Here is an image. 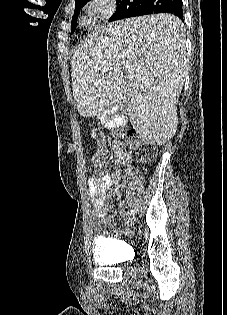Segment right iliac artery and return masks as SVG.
Here are the masks:
<instances>
[{
	"label": "right iliac artery",
	"instance_id": "obj_1",
	"mask_svg": "<svg viewBox=\"0 0 227 315\" xmlns=\"http://www.w3.org/2000/svg\"><path fill=\"white\" fill-rule=\"evenodd\" d=\"M136 211H137L136 208L130 210V212H128V216L134 215Z\"/></svg>",
	"mask_w": 227,
	"mask_h": 315
}]
</instances>
